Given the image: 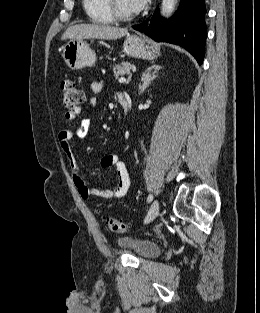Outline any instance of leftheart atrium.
I'll list each match as a JSON object with an SVG mask.
<instances>
[{
	"label": "left heart atrium",
	"mask_w": 260,
	"mask_h": 313,
	"mask_svg": "<svg viewBox=\"0 0 260 313\" xmlns=\"http://www.w3.org/2000/svg\"><path fill=\"white\" fill-rule=\"evenodd\" d=\"M134 11H141L149 0H130Z\"/></svg>",
	"instance_id": "obj_1"
}]
</instances>
